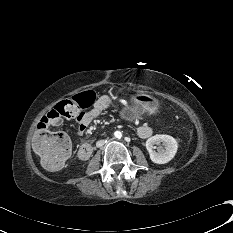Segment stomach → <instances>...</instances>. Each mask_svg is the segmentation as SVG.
Returning <instances> with one entry per match:
<instances>
[{
  "label": "stomach",
  "mask_w": 233,
  "mask_h": 233,
  "mask_svg": "<svg viewBox=\"0 0 233 233\" xmlns=\"http://www.w3.org/2000/svg\"><path fill=\"white\" fill-rule=\"evenodd\" d=\"M158 109V101L155 97L137 93L132 97V106L124 108L121 112L123 118L134 120L141 118L144 114H153Z\"/></svg>",
  "instance_id": "1"
}]
</instances>
